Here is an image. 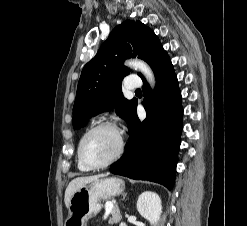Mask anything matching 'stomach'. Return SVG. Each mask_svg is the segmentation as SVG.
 <instances>
[{"label":"stomach","instance_id":"obj_1","mask_svg":"<svg viewBox=\"0 0 247 226\" xmlns=\"http://www.w3.org/2000/svg\"><path fill=\"white\" fill-rule=\"evenodd\" d=\"M124 181L117 177L98 178L76 190L69 204L65 226H86L89 218L101 209V200H107L124 192Z\"/></svg>","mask_w":247,"mask_h":226}]
</instances>
